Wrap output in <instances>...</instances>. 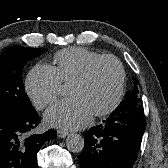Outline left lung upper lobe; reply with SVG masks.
Returning <instances> with one entry per match:
<instances>
[{
    "mask_svg": "<svg viewBox=\"0 0 168 168\" xmlns=\"http://www.w3.org/2000/svg\"><path fill=\"white\" fill-rule=\"evenodd\" d=\"M138 81L134 78V87L131 91H128L125 95V99L120 103L119 107H139L142 106V100L139 98Z\"/></svg>",
    "mask_w": 168,
    "mask_h": 168,
    "instance_id": "1",
    "label": "left lung upper lobe"
}]
</instances>
